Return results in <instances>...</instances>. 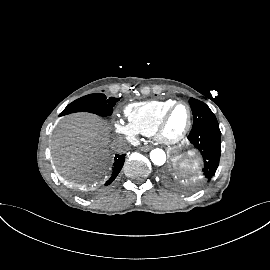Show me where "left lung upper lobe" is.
I'll list each match as a JSON object with an SVG mask.
<instances>
[{"label":"left lung upper lobe","instance_id":"1","mask_svg":"<svg viewBox=\"0 0 270 270\" xmlns=\"http://www.w3.org/2000/svg\"><path fill=\"white\" fill-rule=\"evenodd\" d=\"M189 103L194 116L192 130L204 125L218 124L215 115L205 103L194 98H191Z\"/></svg>","mask_w":270,"mask_h":270}]
</instances>
